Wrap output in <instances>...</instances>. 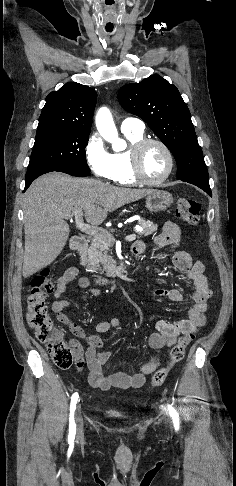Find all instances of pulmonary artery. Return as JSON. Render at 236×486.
<instances>
[{
  "instance_id": "1",
  "label": "pulmonary artery",
  "mask_w": 236,
  "mask_h": 486,
  "mask_svg": "<svg viewBox=\"0 0 236 486\" xmlns=\"http://www.w3.org/2000/svg\"><path fill=\"white\" fill-rule=\"evenodd\" d=\"M145 129V124L142 120L134 117H127L121 123L122 132H143Z\"/></svg>"
}]
</instances>
